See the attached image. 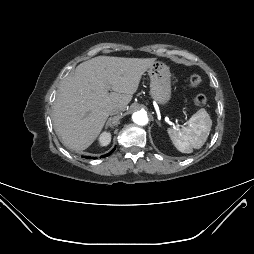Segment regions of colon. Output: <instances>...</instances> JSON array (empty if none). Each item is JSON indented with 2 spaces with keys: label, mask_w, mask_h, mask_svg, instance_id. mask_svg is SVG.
Masks as SVG:
<instances>
[{
  "label": "colon",
  "mask_w": 254,
  "mask_h": 254,
  "mask_svg": "<svg viewBox=\"0 0 254 254\" xmlns=\"http://www.w3.org/2000/svg\"><path fill=\"white\" fill-rule=\"evenodd\" d=\"M188 84L190 87L192 88H197L202 84V78L201 76L197 75V74H193L190 76ZM194 104L197 107H202L206 104V97L203 94H197L194 97Z\"/></svg>",
  "instance_id": "colon-1"
}]
</instances>
